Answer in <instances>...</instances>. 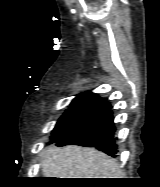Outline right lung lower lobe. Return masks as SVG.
<instances>
[{
    "instance_id": "1",
    "label": "right lung lower lobe",
    "mask_w": 160,
    "mask_h": 187,
    "mask_svg": "<svg viewBox=\"0 0 160 187\" xmlns=\"http://www.w3.org/2000/svg\"><path fill=\"white\" fill-rule=\"evenodd\" d=\"M115 126L110 103L97 106L92 116L72 133L57 141V146L80 145L94 147L112 157H117Z\"/></svg>"
}]
</instances>
